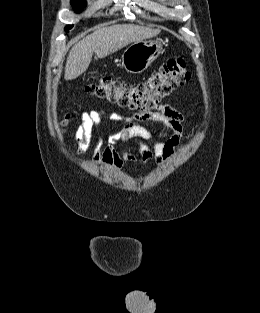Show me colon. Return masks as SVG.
<instances>
[{
  "instance_id": "1",
  "label": "colon",
  "mask_w": 260,
  "mask_h": 313,
  "mask_svg": "<svg viewBox=\"0 0 260 313\" xmlns=\"http://www.w3.org/2000/svg\"><path fill=\"white\" fill-rule=\"evenodd\" d=\"M190 80L183 58L169 59L146 80L131 84L104 77L87 85V93L121 107L147 111ZM68 117L64 119V123Z\"/></svg>"
}]
</instances>
